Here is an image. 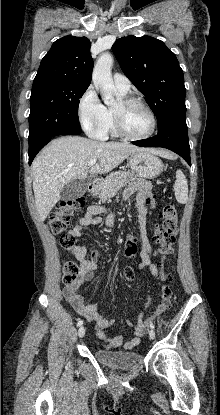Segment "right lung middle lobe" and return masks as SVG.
<instances>
[{"mask_svg": "<svg viewBox=\"0 0 220 415\" xmlns=\"http://www.w3.org/2000/svg\"><path fill=\"white\" fill-rule=\"evenodd\" d=\"M88 86L42 81L33 83L30 97L29 151L58 135L80 130L79 99Z\"/></svg>", "mask_w": 220, "mask_h": 415, "instance_id": "1", "label": "right lung middle lobe"}]
</instances>
